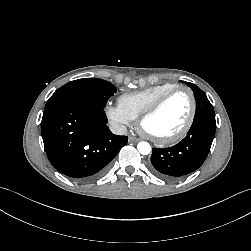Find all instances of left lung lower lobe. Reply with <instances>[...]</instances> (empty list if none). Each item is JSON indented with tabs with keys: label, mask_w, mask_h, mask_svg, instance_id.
I'll return each instance as SVG.
<instances>
[{
	"label": "left lung lower lobe",
	"mask_w": 251,
	"mask_h": 251,
	"mask_svg": "<svg viewBox=\"0 0 251 251\" xmlns=\"http://www.w3.org/2000/svg\"><path fill=\"white\" fill-rule=\"evenodd\" d=\"M215 116L194 118L187 136L172 147L153 148L150 169L157 176L175 180L197 170L205 161L215 135Z\"/></svg>",
	"instance_id": "obj_1"
}]
</instances>
